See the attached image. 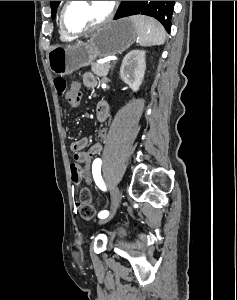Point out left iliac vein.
<instances>
[{
  "instance_id": "1",
  "label": "left iliac vein",
  "mask_w": 237,
  "mask_h": 300,
  "mask_svg": "<svg viewBox=\"0 0 237 300\" xmlns=\"http://www.w3.org/2000/svg\"><path fill=\"white\" fill-rule=\"evenodd\" d=\"M119 195H120V191L117 187H115L112 191V203H111L110 215L108 219H111L113 217L114 213L116 212L119 206V202H120Z\"/></svg>"
}]
</instances>
